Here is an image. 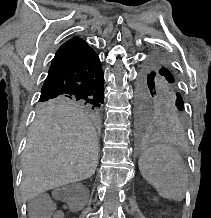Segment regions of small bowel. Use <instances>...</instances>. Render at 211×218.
Listing matches in <instances>:
<instances>
[{
    "label": "small bowel",
    "mask_w": 211,
    "mask_h": 218,
    "mask_svg": "<svg viewBox=\"0 0 211 218\" xmlns=\"http://www.w3.org/2000/svg\"><path fill=\"white\" fill-rule=\"evenodd\" d=\"M55 217L56 218H64V213L62 211H58V212H56Z\"/></svg>",
    "instance_id": "1"
}]
</instances>
